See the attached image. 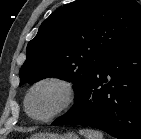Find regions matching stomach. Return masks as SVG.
<instances>
[{
    "mask_svg": "<svg viewBox=\"0 0 141 139\" xmlns=\"http://www.w3.org/2000/svg\"><path fill=\"white\" fill-rule=\"evenodd\" d=\"M31 139H79L75 133H66L64 135H58L54 133H40L31 137Z\"/></svg>",
    "mask_w": 141,
    "mask_h": 139,
    "instance_id": "1",
    "label": "stomach"
}]
</instances>
